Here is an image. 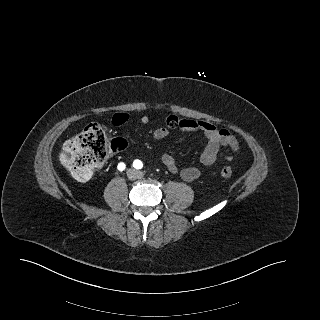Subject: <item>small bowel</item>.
Returning a JSON list of instances; mask_svg holds the SVG:
<instances>
[{"mask_svg":"<svg viewBox=\"0 0 320 320\" xmlns=\"http://www.w3.org/2000/svg\"><path fill=\"white\" fill-rule=\"evenodd\" d=\"M129 119L128 114L118 113L112 118L115 125H122ZM149 118L141 117V123L147 124ZM174 131L182 132H200L206 139L207 144L201 153L200 162L204 166L212 165L218 157L231 160L233 155L239 153V142L236 137L227 129H219L214 124L198 120L179 118L175 115H169L166 118V125L156 128L152 132V138L155 141L162 140ZM162 164L172 173L178 172V166L175 157L170 153H165L161 157ZM183 180L193 182L200 176V169L196 166H188L180 170Z\"/></svg>","mask_w":320,"mask_h":320,"instance_id":"1","label":"small bowel"}]
</instances>
